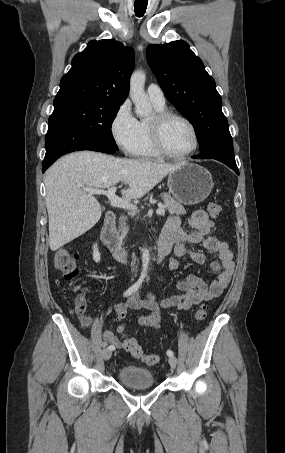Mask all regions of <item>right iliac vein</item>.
Listing matches in <instances>:
<instances>
[{"mask_svg":"<svg viewBox=\"0 0 285 453\" xmlns=\"http://www.w3.org/2000/svg\"><path fill=\"white\" fill-rule=\"evenodd\" d=\"M112 351L108 348L103 349L102 351V357L105 361L109 360L111 358Z\"/></svg>","mask_w":285,"mask_h":453,"instance_id":"obj_1","label":"right iliac vein"}]
</instances>
